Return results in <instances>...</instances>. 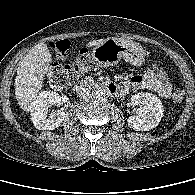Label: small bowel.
I'll use <instances>...</instances> for the list:
<instances>
[{"mask_svg": "<svg viewBox=\"0 0 195 195\" xmlns=\"http://www.w3.org/2000/svg\"><path fill=\"white\" fill-rule=\"evenodd\" d=\"M149 89L163 98L171 95V85L168 81L155 78L150 72L143 75H135L129 81L123 82L119 88V94H127L131 89Z\"/></svg>", "mask_w": 195, "mask_h": 195, "instance_id": "1", "label": "small bowel"}]
</instances>
